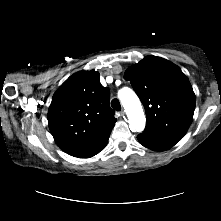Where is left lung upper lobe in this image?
<instances>
[{
    "instance_id": "5c2ea615",
    "label": "left lung upper lobe",
    "mask_w": 221,
    "mask_h": 221,
    "mask_svg": "<svg viewBox=\"0 0 221 221\" xmlns=\"http://www.w3.org/2000/svg\"><path fill=\"white\" fill-rule=\"evenodd\" d=\"M142 101L146 128L185 135L193 120L195 94L178 66L156 56H148L125 72Z\"/></svg>"
}]
</instances>
